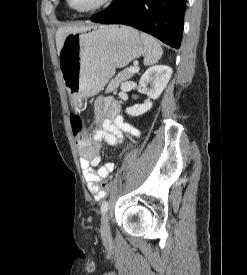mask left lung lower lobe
<instances>
[{"label": "left lung lower lobe", "instance_id": "left-lung-lower-lobe-1", "mask_svg": "<svg viewBox=\"0 0 247 275\" xmlns=\"http://www.w3.org/2000/svg\"><path fill=\"white\" fill-rule=\"evenodd\" d=\"M186 0H113L93 16L102 24H124L149 33L165 44L179 48Z\"/></svg>", "mask_w": 247, "mask_h": 275}]
</instances>
